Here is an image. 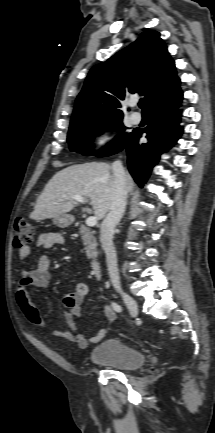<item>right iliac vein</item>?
Returning <instances> with one entry per match:
<instances>
[{
	"label": "right iliac vein",
	"mask_w": 215,
	"mask_h": 433,
	"mask_svg": "<svg viewBox=\"0 0 215 433\" xmlns=\"http://www.w3.org/2000/svg\"><path fill=\"white\" fill-rule=\"evenodd\" d=\"M121 297H122L124 303L126 304V306L128 307L130 314L133 317H136L138 315L137 302L130 295H128L126 293H121Z\"/></svg>",
	"instance_id": "63e3f726"
}]
</instances>
